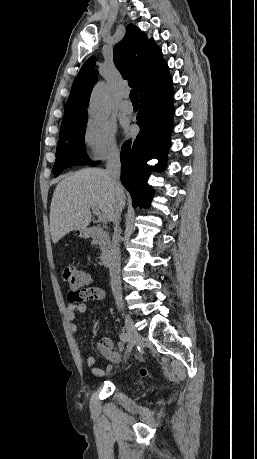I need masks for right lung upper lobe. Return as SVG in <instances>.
Listing matches in <instances>:
<instances>
[{
    "label": "right lung upper lobe",
    "mask_w": 257,
    "mask_h": 459,
    "mask_svg": "<svg viewBox=\"0 0 257 459\" xmlns=\"http://www.w3.org/2000/svg\"><path fill=\"white\" fill-rule=\"evenodd\" d=\"M113 55L122 77L139 94L169 74L161 49L133 24L128 25L124 38L115 45ZM94 67L95 60L91 57L80 69L66 103L60 134L87 120L86 106L98 76Z\"/></svg>",
    "instance_id": "obj_1"
}]
</instances>
